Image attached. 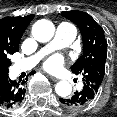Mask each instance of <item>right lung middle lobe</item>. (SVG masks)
Wrapping results in <instances>:
<instances>
[{
	"label": "right lung middle lobe",
	"instance_id": "right-lung-middle-lobe-1",
	"mask_svg": "<svg viewBox=\"0 0 117 117\" xmlns=\"http://www.w3.org/2000/svg\"><path fill=\"white\" fill-rule=\"evenodd\" d=\"M10 65H11V62H6L4 64L5 71H7V72L9 71L8 68H9Z\"/></svg>",
	"mask_w": 117,
	"mask_h": 117
}]
</instances>
